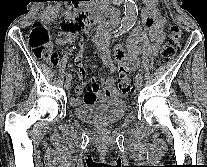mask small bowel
I'll use <instances>...</instances> for the list:
<instances>
[{
    "instance_id": "obj_1",
    "label": "small bowel",
    "mask_w": 207,
    "mask_h": 167,
    "mask_svg": "<svg viewBox=\"0 0 207 167\" xmlns=\"http://www.w3.org/2000/svg\"><path fill=\"white\" fill-rule=\"evenodd\" d=\"M143 18L144 27L134 28L127 39V53L124 52L121 45H117L114 49L115 58L120 63V68H123L126 72L133 71L138 67L140 54L142 48L145 46L146 37L151 41V44L148 47V53L152 56L158 54L165 37V19L152 4H149L147 10L143 12ZM80 30V27L77 28L75 32L69 34L67 37L74 38L76 33ZM106 35L107 31L101 29L95 38V43L103 64L111 71H114L115 63L111 55L109 43L105 38ZM56 42L58 44H63L65 39L63 37H59L56 39ZM75 64L78 67L81 80L75 88L76 96L71 98V104L78 105L83 102L95 101L107 96L120 95V91L115 86V81L112 76L102 77L100 79L101 87L95 81H92L91 84L86 87V83L83 81V78L86 76L87 72L81 55L78 56Z\"/></svg>"
}]
</instances>
